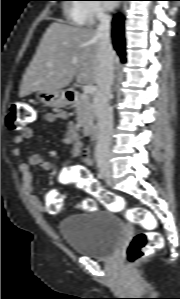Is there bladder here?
Returning <instances> with one entry per match:
<instances>
[{"instance_id": "bladder-1", "label": "bladder", "mask_w": 180, "mask_h": 299, "mask_svg": "<svg viewBox=\"0 0 180 299\" xmlns=\"http://www.w3.org/2000/svg\"><path fill=\"white\" fill-rule=\"evenodd\" d=\"M59 232L74 252L94 259H106L118 249L125 229L115 213L96 209L66 217L59 224Z\"/></svg>"}]
</instances>
